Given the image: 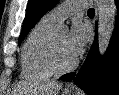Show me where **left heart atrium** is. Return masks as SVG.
<instances>
[{"instance_id": "left-heart-atrium-1", "label": "left heart atrium", "mask_w": 119, "mask_h": 95, "mask_svg": "<svg viewBox=\"0 0 119 95\" xmlns=\"http://www.w3.org/2000/svg\"><path fill=\"white\" fill-rule=\"evenodd\" d=\"M88 40V28L80 21H75L67 37V50L76 59L83 52Z\"/></svg>"}]
</instances>
